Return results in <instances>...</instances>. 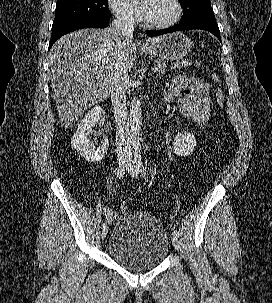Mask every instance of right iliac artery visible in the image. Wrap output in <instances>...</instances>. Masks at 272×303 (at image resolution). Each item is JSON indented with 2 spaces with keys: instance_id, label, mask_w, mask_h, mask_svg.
Wrapping results in <instances>:
<instances>
[{
  "instance_id": "obj_1",
  "label": "right iliac artery",
  "mask_w": 272,
  "mask_h": 303,
  "mask_svg": "<svg viewBox=\"0 0 272 303\" xmlns=\"http://www.w3.org/2000/svg\"><path fill=\"white\" fill-rule=\"evenodd\" d=\"M124 174H125V169H124V167H119L118 169H117V177L119 178V179H122L123 177H124ZM107 227V224L106 223H103L102 224V229H104V228H106Z\"/></svg>"
}]
</instances>
